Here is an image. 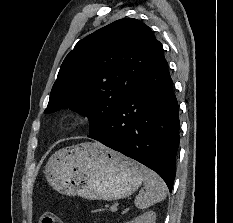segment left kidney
Wrapping results in <instances>:
<instances>
[{
	"label": "left kidney",
	"mask_w": 233,
	"mask_h": 223,
	"mask_svg": "<svg viewBox=\"0 0 233 223\" xmlns=\"http://www.w3.org/2000/svg\"><path fill=\"white\" fill-rule=\"evenodd\" d=\"M156 213L155 211H145L142 215L135 217L133 221H126V223H155Z\"/></svg>",
	"instance_id": "left-kidney-1"
}]
</instances>
